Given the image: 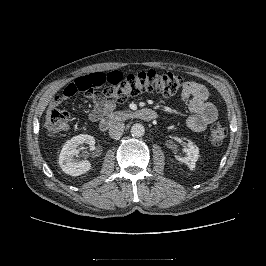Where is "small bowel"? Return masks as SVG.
Listing matches in <instances>:
<instances>
[{"label": "small bowel", "mask_w": 266, "mask_h": 266, "mask_svg": "<svg viewBox=\"0 0 266 266\" xmlns=\"http://www.w3.org/2000/svg\"><path fill=\"white\" fill-rule=\"evenodd\" d=\"M62 96L55 98L58 104L62 103ZM86 98L93 103V110L96 114L102 116L112 112L115 104L105 99L98 92H90ZM181 99L188 101L189 110L192 113L187 119V126L193 132H202L208 125L218 118V111L214 104L207 101L208 91L202 84L186 81L181 91ZM92 120L95 117L91 115Z\"/></svg>", "instance_id": "1"}]
</instances>
